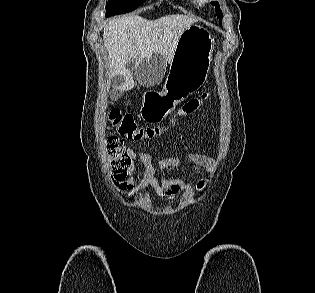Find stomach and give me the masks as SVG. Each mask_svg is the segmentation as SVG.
<instances>
[{
  "mask_svg": "<svg viewBox=\"0 0 315 293\" xmlns=\"http://www.w3.org/2000/svg\"><path fill=\"white\" fill-rule=\"evenodd\" d=\"M214 51L210 32L191 25L180 35L163 90L148 92L142 103L141 116L155 123L170 114L176 105L197 91L207 80Z\"/></svg>",
  "mask_w": 315,
  "mask_h": 293,
  "instance_id": "obj_1",
  "label": "stomach"
}]
</instances>
